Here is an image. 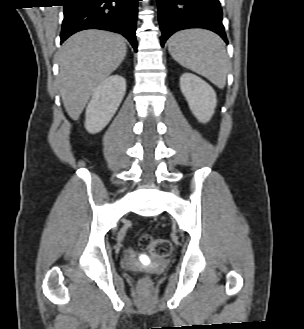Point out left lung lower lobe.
Instances as JSON below:
<instances>
[{"instance_id":"left-lung-lower-lobe-1","label":"left lung lower lobe","mask_w":304,"mask_h":329,"mask_svg":"<svg viewBox=\"0 0 304 329\" xmlns=\"http://www.w3.org/2000/svg\"><path fill=\"white\" fill-rule=\"evenodd\" d=\"M157 1L162 47L173 33L187 28L211 30L220 35L228 44L222 24V9L219 0Z\"/></svg>"}]
</instances>
